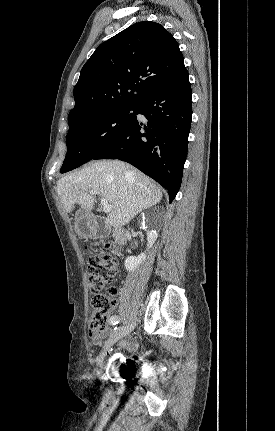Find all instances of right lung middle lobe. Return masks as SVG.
Segmentation results:
<instances>
[{
	"label": "right lung middle lobe",
	"instance_id": "1",
	"mask_svg": "<svg viewBox=\"0 0 275 431\" xmlns=\"http://www.w3.org/2000/svg\"><path fill=\"white\" fill-rule=\"evenodd\" d=\"M136 119V106L119 105L87 114L69 124L61 173L94 159Z\"/></svg>",
	"mask_w": 275,
	"mask_h": 431
}]
</instances>
